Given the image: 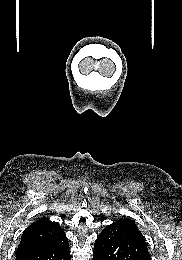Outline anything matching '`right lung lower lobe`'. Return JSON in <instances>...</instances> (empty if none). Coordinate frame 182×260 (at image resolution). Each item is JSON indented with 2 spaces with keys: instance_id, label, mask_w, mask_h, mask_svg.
Instances as JSON below:
<instances>
[{
  "instance_id": "1",
  "label": "right lung lower lobe",
  "mask_w": 182,
  "mask_h": 260,
  "mask_svg": "<svg viewBox=\"0 0 182 260\" xmlns=\"http://www.w3.org/2000/svg\"><path fill=\"white\" fill-rule=\"evenodd\" d=\"M16 260H70L68 239L55 245L17 254Z\"/></svg>"
}]
</instances>
